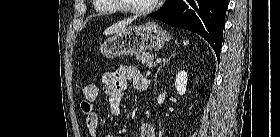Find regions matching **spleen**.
Masks as SVG:
<instances>
[{
  "mask_svg": "<svg viewBox=\"0 0 280 137\" xmlns=\"http://www.w3.org/2000/svg\"><path fill=\"white\" fill-rule=\"evenodd\" d=\"M189 44V41H184V45H188Z\"/></svg>",
  "mask_w": 280,
  "mask_h": 137,
  "instance_id": "1",
  "label": "spleen"
}]
</instances>
